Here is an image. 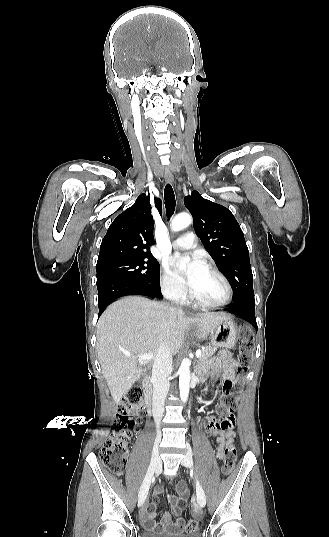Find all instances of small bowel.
<instances>
[{
  "label": "small bowel",
  "mask_w": 329,
  "mask_h": 537,
  "mask_svg": "<svg viewBox=\"0 0 329 537\" xmlns=\"http://www.w3.org/2000/svg\"><path fill=\"white\" fill-rule=\"evenodd\" d=\"M236 361L230 357L226 352H221L215 357L209 366V374L211 377L221 376L222 380L217 382L216 389L221 395L226 396L231 391L234 380L236 379ZM206 433L209 436L216 437L219 443L216 451V457L222 460L225 457V448L231 444L234 440V432L232 429L223 431L219 429L213 421H206ZM178 496L170 495L169 503L171 505L173 516L175 520L171 518L168 512L163 513L162 520L156 522V508L159 502V495L161 487L158 486L153 492L152 499L147 502L141 510V520L144 527L147 530L157 533H172L176 534L181 532L184 526L183 520V503L188 497V489L184 483H180L176 487Z\"/></svg>",
  "instance_id": "small-bowel-1"
}]
</instances>
